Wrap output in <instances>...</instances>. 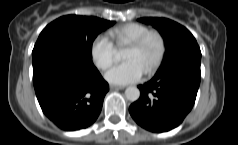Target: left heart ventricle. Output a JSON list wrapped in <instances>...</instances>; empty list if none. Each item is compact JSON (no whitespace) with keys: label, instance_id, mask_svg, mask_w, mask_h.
<instances>
[{"label":"left heart ventricle","instance_id":"b2bd125f","mask_svg":"<svg viewBox=\"0 0 238 145\" xmlns=\"http://www.w3.org/2000/svg\"><path fill=\"white\" fill-rule=\"evenodd\" d=\"M158 52V43L156 39H149L140 49L134 50L127 48L124 58L126 60L136 61L145 72L150 66Z\"/></svg>","mask_w":238,"mask_h":145}]
</instances>
